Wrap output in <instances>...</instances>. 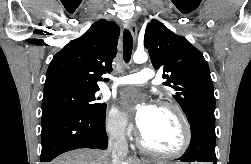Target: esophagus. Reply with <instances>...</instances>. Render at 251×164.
Here are the masks:
<instances>
[{
  "mask_svg": "<svg viewBox=\"0 0 251 164\" xmlns=\"http://www.w3.org/2000/svg\"><path fill=\"white\" fill-rule=\"evenodd\" d=\"M128 28L130 30V32L132 33L133 37L136 38V35H137V27H136V24L131 21L128 25ZM139 162H143L142 159H139Z\"/></svg>",
  "mask_w": 251,
  "mask_h": 164,
  "instance_id": "1",
  "label": "esophagus"
}]
</instances>
